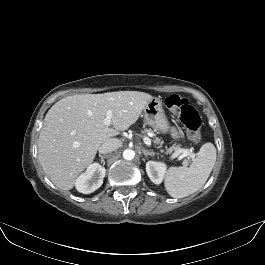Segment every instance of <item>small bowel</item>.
Segmentation results:
<instances>
[{
  "instance_id": "c3829d8e",
  "label": "small bowel",
  "mask_w": 265,
  "mask_h": 265,
  "mask_svg": "<svg viewBox=\"0 0 265 265\" xmlns=\"http://www.w3.org/2000/svg\"><path fill=\"white\" fill-rule=\"evenodd\" d=\"M174 136H177V131L175 129L172 130Z\"/></svg>"
}]
</instances>
